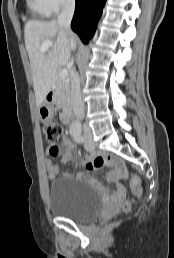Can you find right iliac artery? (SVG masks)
Instances as JSON below:
<instances>
[{"mask_svg": "<svg viewBox=\"0 0 174 258\" xmlns=\"http://www.w3.org/2000/svg\"><path fill=\"white\" fill-rule=\"evenodd\" d=\"M76 131H77L76 129H72V130L70 131V133L73 134V133H75Z\"/></svg>", "mask_w": 174, "mask_h": 258, "instance_id": "obj_1", "label": "right iliac artery"}]
</instances>
